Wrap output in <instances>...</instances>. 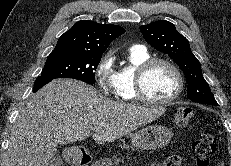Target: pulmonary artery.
Wrapping results in <instances>:
<instances>
[{
	"label": "pulmonary artery",
	"instance_id": "pulmonary-artery-1",
	"mask_svg": "<svg viewBox=\"0 0 231 166\" xmlns=\"http://www.w3.org/2000/svg\"><path fill=\"white\" fill-rule=\"evenodd\" d=\"M136 46H138V47H142V48H143V46H141V45H136Z\"/></svg>",
	"mask_w": 231,
	"mask_h": 166
}]
</instances>
